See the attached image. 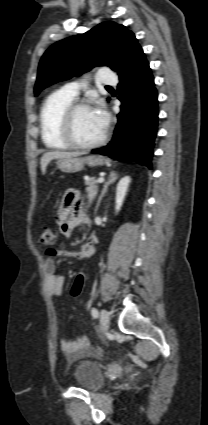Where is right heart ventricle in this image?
<instances>
[{
    "label": "right heart ventricle",
    "mask_w": 208,
    "mask_h": 425,
    "mask_svg": "<svg viewBox=\"0 0 208 425\" xmlns=\"http://www.w3.org/2000/svg\"><path fill=\"white\" fill-rule=\"evenodd\" d=\"M74 99L59 90L47 97L40 111V132L44 145L51 150H67L70 145L61 135V120L64 111Z\"/></svg>",
    "instance_id": "obj_1"
}]
</instances>
